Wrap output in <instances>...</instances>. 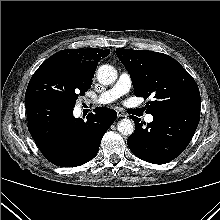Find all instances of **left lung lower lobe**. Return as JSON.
I'll use <instances>...</instances> for the list:
<instances>
[{"label": "left lung lower lobe", "instance_id": "0a47b994", "mask_svg": "<svg viewBox=\"0 0 220 220\" xmlns=\"http://www.w3.org/2000/svg\"><path fill=\"white\" fill-rule=\"evenodd\" d=\"M146 125L132 117L134 133L127 139L132 153L153 163L165 164L179 156L189 144L200 118V106H180L152 113Z\"/></svg>", "mask_w": 220, "mask_h": 220}]
</instances>
